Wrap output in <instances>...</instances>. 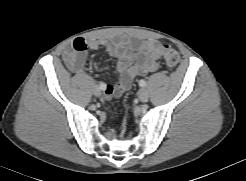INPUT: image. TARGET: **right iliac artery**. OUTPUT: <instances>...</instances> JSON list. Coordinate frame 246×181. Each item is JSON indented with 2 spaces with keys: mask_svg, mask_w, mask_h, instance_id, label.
<instances>
[{
  "mask_svg": "<svg viewBox=\"0 0 246 181\" xmlns=\"http://www.w3.org/2000/svg\"><path fill=\"white\" fill-rule=\"evenodd\" d=\"M99 88H100L101 90H104V88H105L104 84H99Z\"/></svg>",
  "mask_w": 246,
  "mask_h": 181,
  "instance_id": "obj_1",
  "label": "right iliac artery"
}]
</instances>
